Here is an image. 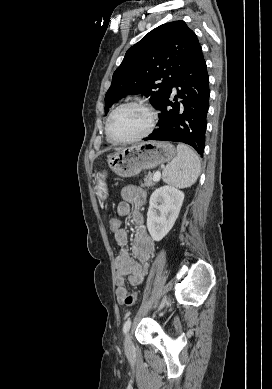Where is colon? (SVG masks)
Returning <instances> with one entry per match:
<instances>
[{
	"label": "colon",
	"instance_id": "obj_1",
	"mask_svg": "<svg viewBox=\"0 0 272 389\" xmlns=\"http://www.w3.org/2000/svg\"><path fill=\"white\" fill-rule=\"evenodd\" d=\"M108 224H109L110 231L114 234L121 229V220L117 216L110 217ZM136 300H137V294L131 293L125 296L123 303L126 306H132L136 303Z\"/></svg>",
	"mask_w": 272,
	"mask_h": 389
}]
</instances>
